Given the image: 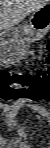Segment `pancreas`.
Returning a JSON list of instances; mask_svg holds the SVG:
<instances>
[{
    "label": "pancreas",
    "mask_w": 50,
    "mask_h": 148,
    "mask_svg": "<svg viewBox=\"0 0 50 148\" xmlns=\"http://www.w3.org/2000/svg\"><path fill=\"white\" fill-rule=\"evenodd\" d=\"M24 33H27V34H30V35H33V31L31 32L30 29H24Z\"/></svg>",
    "instance_id": "cf45deb5"
}]
</instances>
